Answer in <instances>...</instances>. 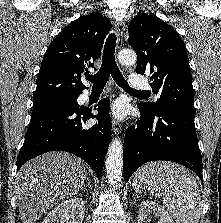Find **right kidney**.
<instances>
[{"mask_svg":"<svg viewBox=\"0 0 221 223\" xmlns=\"http://www.w3.org/2000/svg\"><path fill=\"white\" fill-rule=\"evenodd\" d=\"M85 204L81 197L62 202L50 211L42 223H82Z\"/></svg>","mask_w":221,"mask_h":223,"instance_id":"ca27d5eb","label":"right kidney"}]
</instances>
